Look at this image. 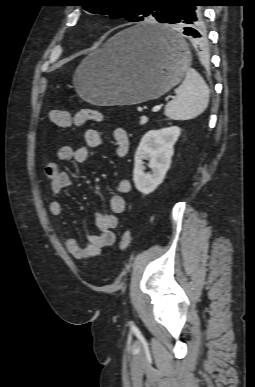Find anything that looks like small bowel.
Listing matches in <instances>:
<instances>
[{"instance_id":"small-bowel-1","label":"small bowel","mask_w":255,"mask_h":387,"mask_svg":"<svg viewBox=\"0 0 255 387\" xmlns=\"http://www.w3.org/2000/svg\"><path fill=\"white\" fill-rule=\"evenodd\" d=\"M114 139V152L118 157H124L130 147V140L125 129L117 127L112 132ZM84 142L86 146L73 148L65 145L58 149L56 159L46 164L45 176L49 181L53 194H60L71 185L69 174L60 166L61 162L74 161L85 163L89 159V148H97L103 144L102 134L93 128L84 132ZM131 190V182L127 178H121L117 182V193L112 195L107 204L102 205L94 213V223L98 233L88 237V244L81 246L77 240L71 236L65 241L68 252L76 259L86 260L97 257L106 247L113 245L115 236L113 229L118 224L117 215L125 209L124 194ZM52 216L59 217L63 212V205L59 201H52L49 205Z\"/></svg>"}]
</instances>
